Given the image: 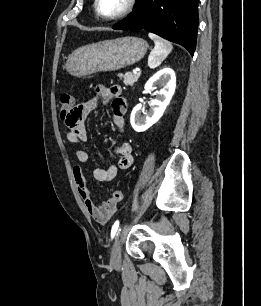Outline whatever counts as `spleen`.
<instances>
[{
	"mask_svg": "<svg viewBox=\"0 0 261 306\" xmlns=\"http://www.w3.org/2000/svg\"><path fill=\"white\" fill-rule=\"evenodd\" d=\"M149 38L154 41L155 47L151 51L148 57V66L151 69L158 67L162 61L169 55L172 51L173 46L169 41L162 39L156 34L149 33Z\"/></svg>",
	"mask_w": 261,
	"mask_h": 306,
	"instance_id": "3e777b00",
	"label": "spleen"
}]
</instances>
